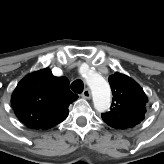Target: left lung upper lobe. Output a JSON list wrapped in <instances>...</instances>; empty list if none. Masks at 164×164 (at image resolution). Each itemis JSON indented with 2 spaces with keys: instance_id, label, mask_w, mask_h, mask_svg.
Instances as JSON below:
<instances>
[{
  "instance_id": "obj_1",
  "label": "left lung upper lobe",
  "mask_w": 164,
  "mask_h": 164,
  "mask_svg": "<svg viewBox=\"0 0 164 164\" xmlns=\"http://www.w3.org/2000/svg\"><path fill=\"white\" fill-rule=\"evenodd\" d=\"M113 93V108L102 114V119L117 128L138 124L144 117L146 96L143 89L131 78L115 73L109 77Z\"/></svg>"
}]
</instances>
